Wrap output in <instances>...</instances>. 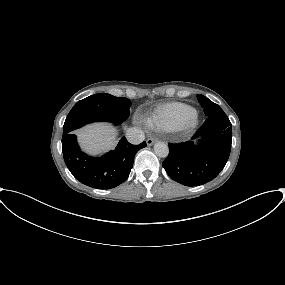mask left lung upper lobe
Instances as JSON below:
<instances>
[{"instance_id":"obj_1","label":"left lung upper lobe","mask_w":285,"mask_h":285,"mask_svg":"<svg viewBox=\"0 0 285 285\" xmlns=\"http://www.w3.org/2000/svg\"><path fill=\"white\" fill-rule=\"evenodd\" d=\"M197 99L201 104L202 108H204V113L206 116H210L216 113H224V111L220 108L219 105L215 104L207 97L203 95H197Z\"/></svg>"}]
</instances>
